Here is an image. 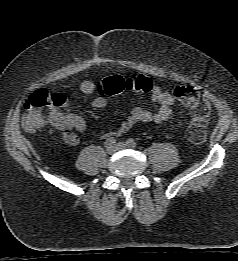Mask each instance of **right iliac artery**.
<instances>
[{
  "instance_id": "1",
  "label": "right iliac artery",
  "mask_w": 238,
  "mask_h": 261,
  "mask_svg": "<svg viewBox=\"0 0 238 261\" xmlns=\"http://www.w3.org/2000/svg\"><path fill=\"white\" fill-rule=\"evenodd\" d=\"M116 143V140L114 137H109L106 141H105V147L108 148L110 146H113Z\"/></svg>"
}]
</instances>
